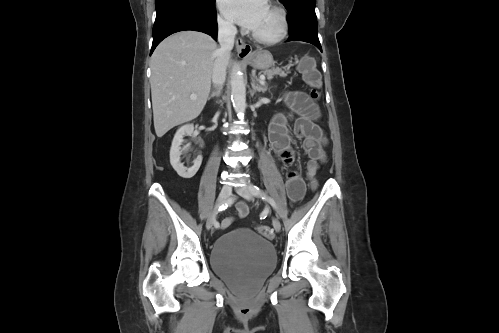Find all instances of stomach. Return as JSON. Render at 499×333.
I'll return each mask as SVG.
<instances>
[{"mask_svg":"<svg viewBox=\"0 0 499 333\" xmlns=\"http://www.w3.org/2000/svg\"><path fill=\"white\" fill-rule=\"evenodd\" d=\"M246 59L249 65L259 70H268L274 65L273 56L267 50L254 51Z\"/></svg>","mask_w":499,"mask_h":333,"instance_id":"obj_1","label":"stomach"}]
</instances>
